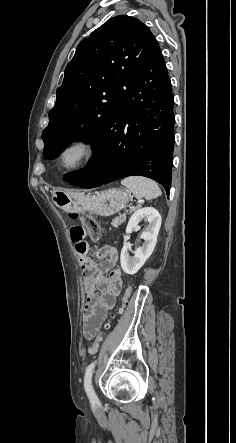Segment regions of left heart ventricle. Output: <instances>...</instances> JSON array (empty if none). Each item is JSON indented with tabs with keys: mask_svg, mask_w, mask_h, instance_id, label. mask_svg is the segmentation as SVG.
Returning <instances> with one entry per match:
<instances>
[{
	"mask_svg": "<svg viewBox=\"0 0 236 443\" xmlns=\"http://www.w3.org/2000/svg\"><path fill=\"white\" fill-rule=\"evenodd\" d=\"M78 157H79V152L78 151H76V150L71 151L66 156V162L67 163H72V162L76 161L78 159Z\"/></svg>",
	"mask_w": 236,
	"mask_h": 443,
	"instance_id": "obj_1",
	"label": "left heart ventricle"
}]
</instances>
